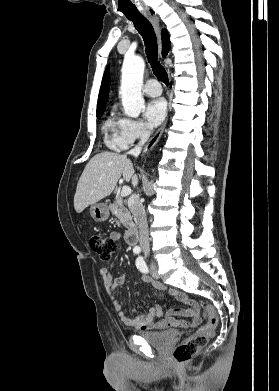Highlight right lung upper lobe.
Wrapping results in <instances>:
<instances>
[{
  "label": "right lung upper lobe",
  "instance_id": "cb5924a9",
  "mask_svg": "<svg viewBox=\"0 0 279 391\" xmlns=\"http://www.w3.org/2000/svg\"><path fill=\"white\" fill-rule=\"evenodd\" d=\"M161 36H162V55L165 56L169 52L171 44H170L169 35L166 30H162ZM109 84H110V79H109V66H108L103 76L99 97H98L97 110L105 109V104L107 103L108 94H109Z\"/></svg>",
  "mask_w": 279,
  "mask_h": 391
}]
</instances>
